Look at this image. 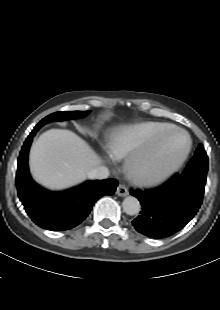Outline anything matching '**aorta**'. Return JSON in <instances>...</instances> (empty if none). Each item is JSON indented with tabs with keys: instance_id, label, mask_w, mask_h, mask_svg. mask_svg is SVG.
Returning <instances> with one entry per match:
<instances>
[{
	"instance_id": "762f6f07",
	"label": "aorta",
	"mask_w": 220,
	"mask_h": 310,
	"mask_svg": "<svg viewBox=\"0 0 220 310\" xmlns=\"http://www.w3.org/2000/svg\"><path fill=\"white\" fill-rule=\"evenodd\" d=\"M123 210L128 215H135L140 211V202L137 198L133 196H128L123 200L122 203Z\"/></svg>"
}]
</instances>
